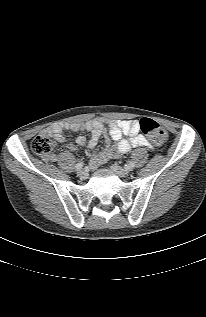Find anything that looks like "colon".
I'll use <instances>...</instances> for the list:
<instances>
[{
    "mask_svg": "<svg viewBox=\"0 0 206 317\" xmlns=\"http://www.w3.org/2000/svg\"><path fill=\"white\" fill-rule=\"evenodd\" d=\"M139 126L141 131L158 145L162 144L167 138L166 130L151 118H142ZM31 149L39 156H49L54 150V142L49 135L43 133L33 139Z\"/></svg>",
    "mask_w": 206,
    "mask_h": 317,
    "instance_id": "5ec220e1",
    "label": "colon"
}]
</instances>
